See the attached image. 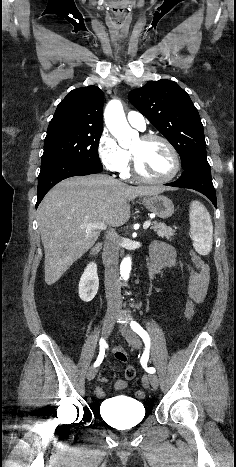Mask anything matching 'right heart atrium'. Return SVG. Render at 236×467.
<instances>
[{"label": "right heart atrium", "instance_id": "right-heart-atrium-1", "mask_svg": "<svg viewBox=\"0 0 236 467\" xmlns=\"http://www.w3.org/2000/svg\"><path fill=\"white\" fill-rule=\"evenodd\" d=\"M97 152L102 166L109 172H122L130 161L129 152L107 130L100 135Z\"/></svg>", "mask_w": 236, "mask_h": 467}]
</instances>
